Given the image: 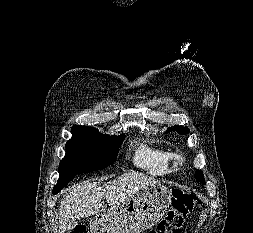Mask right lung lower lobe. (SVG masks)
Here are the masks:
<instances>
[{
  "label": "right lung lower lobe",
  "instance_id": "98d812e1",
  "mask_svg": "<svg viewBox=\"0 0 253 233\" xmlns=\"http://www.w3.org/2000/svg\"><path fill=\"white\" fill-rule=\"evenodd\" d=\"M74 176H75V175L70 176L68 179H66V180H64V181L58 182V183L54 186L52 193H53V194H57L58 192H60V190H61L62 188H64V187L73 179Z\"/></svg>",
  "mask_w": 253,
  "mask_h": 233
}]
</instances>
